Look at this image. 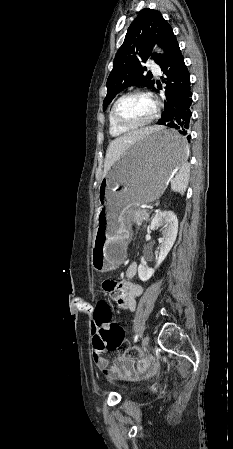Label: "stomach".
Masks as SVG:
<instances>
[{
	"label": "stomach",
	"mask_w": 233,
	"mask_h": 449,
	"mask_svg": "<svg viewBox=\"0 0 233 449\" xmlns=\"http://www.w3.org/2000/svg\"><path fill=\"white\" fill-rule=\"evenodd\" d=\"M188 144L176 128H157L122 155L102 181L93 268L108 272L125 259L130 212L161 197L173 173L185 163Z\"/></svg>",
	"instance_id": "stomach-1"
}]
</instances>
